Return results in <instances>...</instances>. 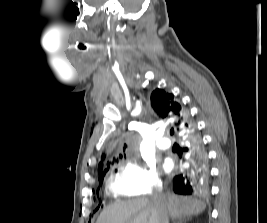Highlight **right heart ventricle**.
I'll return each mask as SVG.
<instances>
[{"label": "right heart ventricle", "mask_w": 267, "mask_h": 223, "mask_svg": "<svg viewBox=\"0 0 267 223\" xmlns=\"http://www.w3.org/2000/svg\"><path fill=\"white\" fill-rule=\"evenodd\" d=\"M109 193L112 195H119V193L115 190L113 185L110 187Z\"/></svg>", "instance_id": "1"}]
</instances>
